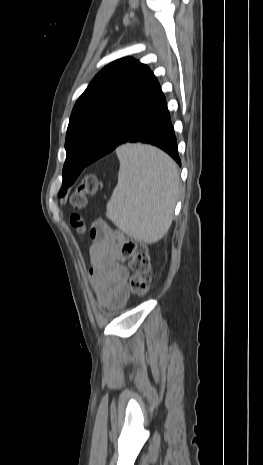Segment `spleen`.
Instances as JSON below:
<instances>
[{"instance_id": "3e777b00", "label": "spleen", "mask_w": 263, "mask_h": 465, "mask_svg": "<svg viewBox=\"0 0 263 465\" xmlns=\"http://www.w3.org/2000/svg\"><path fill=\"white\" fill-rule=\"evenodd\" d=\"M118 183L107 204V217L129 236L146 243L160 240L173 218L180 179L175 162L147 145L116 150Z\"/></svg>"}]
</instances>
